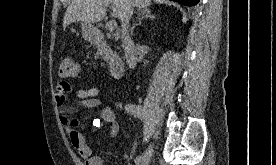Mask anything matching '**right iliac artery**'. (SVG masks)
I'll use <instances>...</instances> for the list:
<instances>
[{
    "label": "right iliac artery",
    "instance_id": "1",
    "mask_svg": "<svg viewBox=\"0 0 276 165\" xmlns=\"http://www.w3.org/2000/svg\"><path fill=\"white\" fill-rule=\"evenodd\" d=\"M125 109L128 113L134 115L135 117H141V108L139 106L129 104L125 107ZM141 158H142L141 156L136 157V159H135L136 165L139 164Z\"/></svg>",
    "mask_w": 276,
    "mask_h": 165
}]
</instances>
